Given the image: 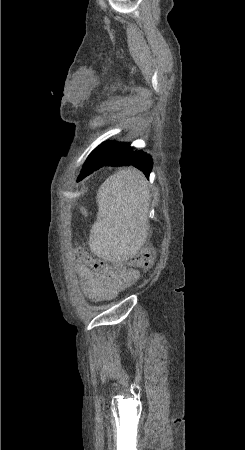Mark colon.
<instances>
[{
	"instance_id": "colon-1",
	"label": "colon",
	"mask_w": 245,
	"mask_h": 450,
	"mask_svg": "<svg viewBox=\"0 0 245 450\" xmlns=\"http://www.w3.org/2000/svg\"><path fill=\"white\" fill-rule=\"evenodd\" d=\"M86 212L87 211L83 209V213ZM154 252V248H142L132 256L129 263L135 268L147 269L153 263ZM75 256L78 260L88 264L95 273L101 274L109 269L105 260L91 257L83 248H78L75 251ZM117 267H120V265Z\"/></svg>"
}]
</instances>
